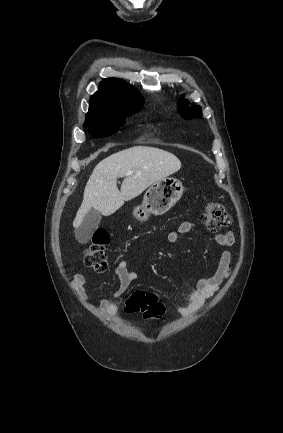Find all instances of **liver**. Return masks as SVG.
<instances>
[{
  "label": "liver",
  "mask_w": 283,
  "mask_h": 433,
  "mask_svg": "<svg viewBox=\"0 0 283 433\" xmlns=\"http://www.w3.org/2000/svg\"><path fill=\"white\" fill-rule=\"evenodd\" d=\"M179 168L181 162L175 154L154 146H131L103 158L86 182L82 204L73 221L74 229L80 227L91 208L109 217L124 204V200L135 198L147 186ZM129 170L134 172L125 174ZM118 176H125L120 190L117 188Z\"/></svg>",
  "instance_id": "1"
}]
</instances>
